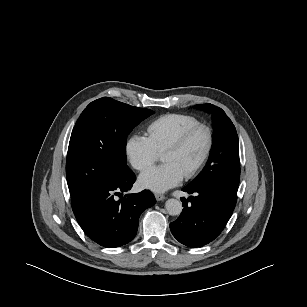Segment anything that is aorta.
<instances>
[{"mask_svg":"<svg viewBox=\"0 0 307 307\" xmlns=\"http://www.w3.org/2000/svg\"><path fill=\"white\" fill-rule=\"evenodd\" d=\"M166 211L171 216H177L180 215L182 212V202L177 199H168L165 203Z\"/></svg>","mask_w":307,"mask_h":307,"instance_id":"obj_1","label":"aorta"}]
</instances>
